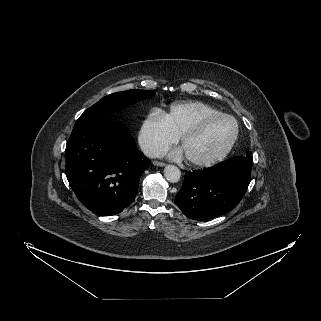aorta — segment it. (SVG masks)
<instances>
[{
    "label": "aorta",
    "mask_w": 321,
    "mask_h": 321,
    "mask_svg": "<svg viewBox=\"0 0 321 321\" xmlns=\"http://www.w3.org/2000/svg\"><path fill=\"white\" fill-rule=\"evenodd\" d=\"M164 176L171 183H176L181 178V171L174 165H167L164 169Z\"/></svg>",
    "instance_id": "762f6f07"
}]
</instances>
